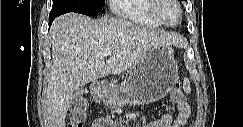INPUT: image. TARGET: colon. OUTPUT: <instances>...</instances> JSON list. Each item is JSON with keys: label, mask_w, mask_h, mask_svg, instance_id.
<instances>
[{"label": "colon", "mask_w": 243, "mask_h": 127, "mask_svg": "<svg viewBox=\"0 0 243 127\" xmlns=\"http://www.w3.org/2000/svg\"><path fill=\"white\" fill-rule=\"evenodd\" d=\"M173 98L177 103L184 102V96L177 85L173 91ZM86 119V106L77 104L71 108L69 127H83Z\"/></svg>", "instance_id": "obj_1"}]
</instances>
